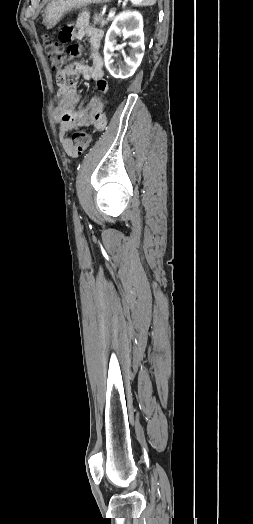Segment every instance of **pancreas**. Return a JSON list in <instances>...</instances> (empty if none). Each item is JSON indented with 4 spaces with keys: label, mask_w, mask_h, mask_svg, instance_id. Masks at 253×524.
I'll use <instances>...</instances> for the list:
<instances>
[{
    "label": "pancreas",
    "mask_w": 253,
    "mask_h": 524,
    "mask_svg": "<svg viewBox=\"0 0 253 524\" xmlns=\"http://www.w3.org/2000/svg\"><path fill=\"white\" fill-rule=\"evenodd\" d=\"M110 20H112V18L105 19L101 13H95L93 16V23L100 25V27H104Z\"/></svg>",
    "instance_id": "pancreas-1"
}]
</instances>
